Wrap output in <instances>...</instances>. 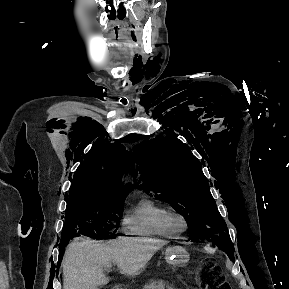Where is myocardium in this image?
I'll list each match as a JSON object with an SVG mask.
<instances>
[{
    "label": "myocardium",
    "instance_id": "obj_1",
    "mask_svg": "<svg viewBox=\"0 0 289 289\" xmlns=\"http://www.w3.org/2000/svg\"><path fill=\"white\" fill-rule=\"evenodd\" d=\"M165 221L171 230L178 234L183 233L188 229L186 218L178 211L168 210L165 215Z\"/></svg>",
    "mask_w": 289,
    "mask_h": 289
}]
</instances>
